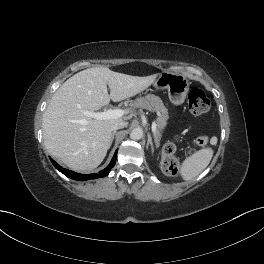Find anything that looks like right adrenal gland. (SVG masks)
Returning <instances> with one entry per match:
<instances>
[{
	"label": "right adrenal gland",
	"instance_id": "1",
	"mask_svg": "<svg viewBox=\"0 0 264 264\" xmlns=\"http://www.w3.org/2000/svg\"><path fill=\"white\" fill-rule=\"evenodd\" d=\"M116 133H117V131H114V132L112 133L111 144H112V142H113V140H114V136H115Z\"/></svg>",
	"mask_w": 264,
	"mask_h": 264
}]
</instances>
